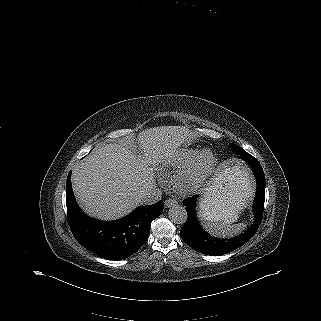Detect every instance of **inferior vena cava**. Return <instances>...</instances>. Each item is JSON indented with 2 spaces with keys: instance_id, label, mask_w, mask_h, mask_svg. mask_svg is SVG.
<instances>
[{
  "instance_id": "1",
  "label": "inferior vena cava",
  "mask_w": 321,
  "mask_h": 321,
  "mask_svg": "<svg viewBox=\"0 0 321 321\" xmlns=\"http://www.w3.org/2000/svg\"><path fill=\"white\" fill-rule=\"evenodd\" d=\"M161 198L162 190L159 188H153L148 190L141 196L140 202L144 205H151L159 201Z\"/></svg>"
}]
</instances>
